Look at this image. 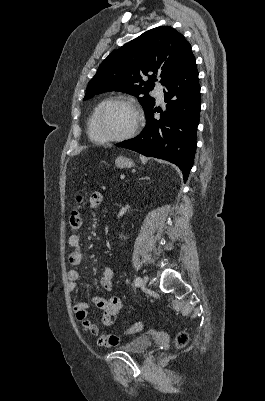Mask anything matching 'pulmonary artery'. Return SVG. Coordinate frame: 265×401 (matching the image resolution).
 <instances>
[{"label":"pulmonary artery","instance_id":"pulmonary-artery-1","mask_svg":"<svg viewBox=\"0 0 265 401\" xmlns=\"http://www.w3.org/2000/svg\"><path fill=\"white\" fill-rule=\"evenodd\" d=\"M154 94L158 100V102L162 103L164 100V95H163V91L160 88H155L154 90Z\"/></svg>","mask_w":265,"mask_h":401}]
</instances>
